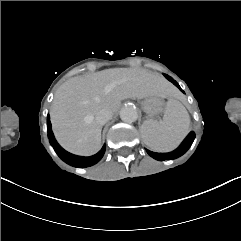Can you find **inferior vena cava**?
<instances>
[{"instance_id": "inferior-vena-cava-1", "label": "inferior vena cava", "mask_w": 241, "mask_h": 241, "mask_svg": "<svg viewBox=\"0 0 241 241\" xmlns=\"http://www.w3.org/2000/svg\"><path fill=\"white\" fill-rule=\"evenodd\" d=\"M112 118V112L106 109L100 110L95 117L94 116H86L85 121L90 123L93 119L99 124L104 125L108 120Z\"/></svg>"}]
</instances>
